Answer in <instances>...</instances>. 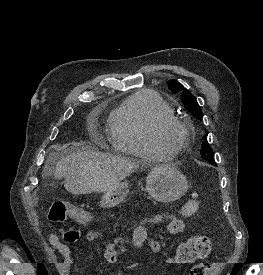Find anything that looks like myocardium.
<instances>
[{
	"label": "myocardium",
	"mask_w": 263,
	"mask_h": 275,
	"mask_svg": "<svg viewBox=\"0 0 263 275\" xmlns=\"http://www.w3.org/2000/svg\"><path fill=\"white\" fill-rule=\"evenodd\" d=\"M168 128L176 129L180 137L174 144L165 143L161 139V132ZM190 139V129L188 125L176 116L166 115L160 117L150 130V141L152 145L161 152L169 155L180 152Z\"/></svg>",
	"instance_id": "1"
}]
</instances>
